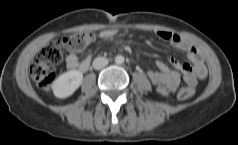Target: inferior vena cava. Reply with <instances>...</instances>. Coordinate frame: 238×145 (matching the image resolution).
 Returning <instances> with one entry per match:
<instances>
[{
    "mask_svg": "<svg viewBox=\"0 0 238 145\" xmlns=\"http://www.w3.org/2000/svg\"><path fill=\"white\" fill-rule=\"evenodd\" d=\"M92 65L96 70L102 69L108 65V59L105 57H97L93 60Z\"/></svg>",
    "mask_w": 238,
    "mask_h": 145,
    "instance_id": "1",
    "label": "inferior vena cava"
}]
</instances>
